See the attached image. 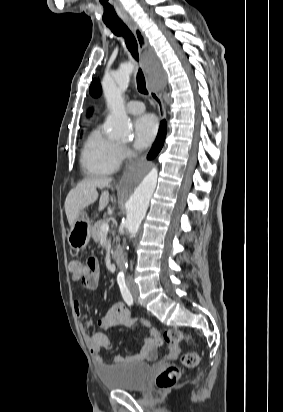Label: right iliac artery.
<instances>
[{
    "label": "right iliac artery",
    "mask_w": 283,
    "mask_h": 412,
    "mask_svg": "<svg viewBox=\"0 0 283 412\" xmlns=\"http://www.w3.org/2000/svg\"><path fill=\"white\" fill-rule=\"evenodd\" d=\"M118 284H119L120 291H121V294H122V297H123L124 301L129 306L133 305V297H132L130 291L128 290V288H127V286H126V284H125V282L122 278H118Z\"/></svg>",
    "instance_id": "right-iliac-artery-1"
}]
</instances>
